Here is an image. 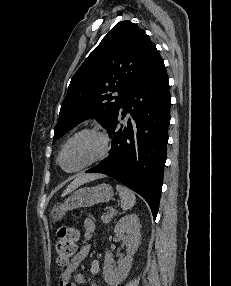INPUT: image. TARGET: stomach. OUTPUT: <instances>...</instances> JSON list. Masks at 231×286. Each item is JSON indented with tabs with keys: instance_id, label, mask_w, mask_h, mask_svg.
<instances>
[{
	"instance_id": "obj_1",
	"label": "stomach",
	"mask_w": 231,
	"mask_h": 286,
	"mask_svg": "<svg viewBox=\"0 0 231 286\" xmlns=\"http://www.w3.org/2000/svg\"><path fill=\"white\" fill-rule=\"evenodd\" d=\"M114 194L109 184L83 187L76 190L62 204L54 206L50 211L53 223L60 221L67 211L82 207H91L98 203L108 202Z\"/></svg>"
}]
</instances>
